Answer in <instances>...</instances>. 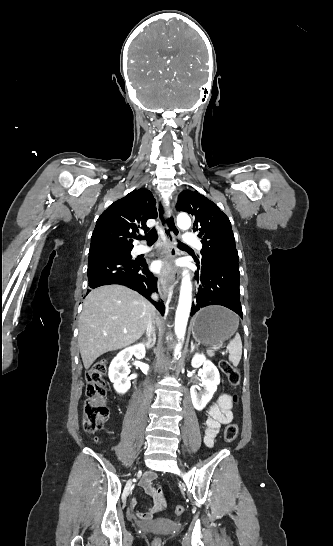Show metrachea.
Listing matches in <instances>:
<instances>
[{
    "mask_svg": "<svg viewBox=\"0 0 333 546\" xmlns=\"http://www.w3.org/2000/svg\"><path fill=\"white\" fill-rule=\"evenodd\" d=\"M145 238L147 240V243L148 244H153L157 238H158V234H157V231L155 228H152L146 235H145ZM137 239L141 240L143 239V236H138ZM178 246L180 247H184L186 246L184 243L178 241Z\"/></svg>",
    "mask_w": 333,
    "mask_h": 546,
    "instance_id": "1",
    "label": "trachea"
}]
</instances>
